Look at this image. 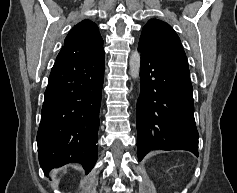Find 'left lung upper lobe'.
Masks as SVG:
<instances>
[{
  "mask_svg": "<svg viewBox=\"0 0 237 193\" xmlns=\"http://www.w3.org/2000/svg\"><path fill=\"white\" fill-rule=\"evenodd\" d=\"M139 47L146 48L157 55L188 68L186 54L180 39L171 26L161 20L151 19L142 29Z\"/></svg>",
  "mask_w": 237,
  "mask_h": 193,
  "instance_id": "left-lung-upper-lobe-1",
  "label": "left lung upper lobe"
}]
</instances>
